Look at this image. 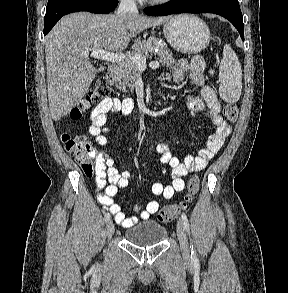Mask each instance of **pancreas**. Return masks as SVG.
Here are the masks:
<instances>
[{
	"mask_svg": "<svg viewBox=\"0 0 288 293\" xmlns=\"http://www.w3.org/2000/svg\"><path fill=\"white\" fill-rule=\"evenodd\" d=\"M156 48L158 49L157 54L154 52ZM132 54H140L143 57L157 55L162 65L172 66L176 63L166 43L157 38H150L147 41L137 40L132 46V52L129 55ZM138 76L139 68L131 59L121 61L118 63V70L114 77L115 86L121 91H125L126 87L133 89Z\"/></svg>",
	"mask_w": 288,
	"mask_h": 293,
	"instance_id": "obj_1",
	"label": "pancreas"
}]
</instances>
